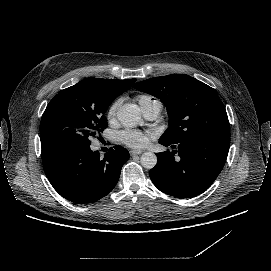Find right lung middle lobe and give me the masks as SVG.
Segmentation results:
<instances>
[{
    "mask_svg": "<svg viewBox=\"0 0 271 271\" xmlns=\"http://www.w3.org/2000/svg\"><path fill=\"white\" fill-rule=\"evenodd\" d=\"M108 105H91L79 93L61 90L46 107L40 123L41 146L54 142L90 145L107 128Z\"/></svg>",
    "mask_w": 271,
    "mask_h": 271,
    "instance_id": "1",
    "label": "right lung middle lobe"
}]
</instances>
